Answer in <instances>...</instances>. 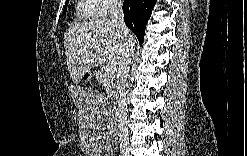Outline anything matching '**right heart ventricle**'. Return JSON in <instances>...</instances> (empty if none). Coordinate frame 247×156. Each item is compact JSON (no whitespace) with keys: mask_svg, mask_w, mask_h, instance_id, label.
Masks as SVG:
<instances>
[{"mask_svg":"<svg viewBox=\"0 0 247 156\" xmlns=\"http://www.w3.org/2000/svg\"><path fill=\"white\" fill-rule=\"evenodd\" d=\"M76 14L81 19H95L100 14L95 1H80L77 5Z\"/></svg>","mask_w":247,"mask_h":156,"instance_id":"e07e8e85","label":"right heart ventricle"}]
</instances>
